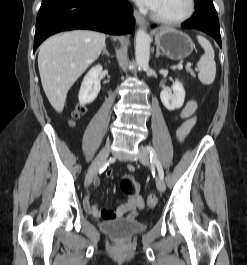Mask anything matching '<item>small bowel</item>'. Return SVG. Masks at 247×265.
I'll return each mask as SVG.
<instances>
[{
	"label": "small bowel",
	"instance_id": "small-bowel-1",
	"mask_svg": "<svg viewBox=\"0 0 247 265\" xmlns=\"http://www.w3.org/2000/svg\"><path fill=\"white\" fill-rule=\"evenodd\" d=\"M197 102L195 99H189L184 107L181 109L179 114L176 116L177 119H183L184 122L180 125L176 132L177 139L182 142L189 134L191 129L196 123V116L194 115L197 110ZM128 171H133V165L129 164L127 166ZM111 175V171L106 172V176L109 177ZM99 182L95 180V185ZM83 205L86 211L101 219L113 220L116 218L123 217L128 214L130 217H134L137 215V212L144 207V199L141 196H136L127 200V202L121 204L114 210L104 209L96 206L89 195H86L83 199Z\"/></svg>",
	"mask_w": 247,
	"mask_h": 265
}]
</instances>
